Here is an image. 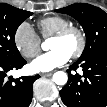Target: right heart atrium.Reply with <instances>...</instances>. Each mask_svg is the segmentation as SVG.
Masks as SVG:
<instances>
[{"instance_id":"1","label":"right heart atrium","mask_w":107,"mask_h":107,"mask_svg":"<svg viewBox=\"0 0 107 107\" xmlns=\"http://www.w3.org/2000/svg\"><path fill=\"white\" fill-rule=\"evenodd\" d=\"M14 43L19 53L25 58H33L41 50V40L28 22L21 23L15 30Z\"/></svg>"}]
</instances>
